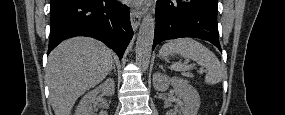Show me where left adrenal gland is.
I'll return each mask as SVG.
<instances>
[{
    "label": "left adrenal gland",
    "instance_id": "1",
    "mask_svg": "<svg viewBox=\"0 0 285 115\" xmlns=\"http://www.w3.org/2000/svg\"><path fill=\"white\" fill-rule=\"evenodd\" d=\"M159 67L163 69V66H162V65H161V66H159Z\"/></svg>",
    "mask_w": 285,
    "mask_h": 115
}]
</instances>
